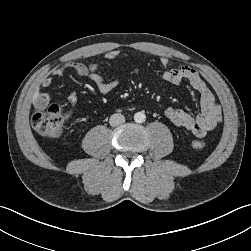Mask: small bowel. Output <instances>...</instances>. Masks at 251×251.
<instances>
[{
  "label": "small bowel",
  "mask_w": 251,
  "mask_h": 251,
  "mask_svg": "<svg viewBox=\"0 0 251 251\" xmlns=\"http://www.w3.org/2000/svg\"><path fill=\"white\" fill-rule=\"evenodd\" d=\"M119 55L120 52L118 50H110L105 54V58L113 61L117 59ZM160 64L165 69L162 73V79L164 81L175 85L187 81L200 97V113L198 115L192 116L181 109L168 107L165 110V116L175 126L186 128L197 137L205 136L208 131L218 125L222 118L221 108L217 104L213 93L193 68L187 65L170 68V60L167 57H162ZM99 67L100 64L97 62L89 64L73 62L66 64L62 67L55 68L51 76L44 78L41 81V87H51L54 78L63 76L68 70H73L79 76L88 77L100 93L108 94L119 86V80L117 78H104L98 72ZM68 100L71 104H76L78 101L76 93L71 92L68 95ZM49 102L50 96L44 92H40L35 98V106L37 108H45Z\"/></svg>",
  "instance_id": "obj_1"
}]
</instances>
